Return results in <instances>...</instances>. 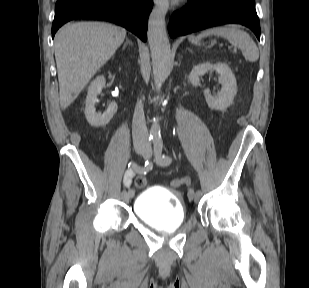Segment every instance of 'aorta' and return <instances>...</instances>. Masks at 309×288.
Returning a JSON list of instances; mask_svg holds the SVG:
<instances>
[{"label":"aorta","mask_w":309,"mask_h":288,"mask_svg":"<svg viewBox=\"0 0 309 288\" xmlns=\"http://www.w3.org/2000/svg\"><path fill=\"white\" fill-rule=\"evenodd\" d=\"M168 8V0H160L159 4L151 11L148 20L147 37L157 87L163 82L170 61V44L165 25V16ZM150 135L154 139L160 137V131L156 124L152 125Z\"/></svg>","instance_id":"762f6f07"}]
</instances>
